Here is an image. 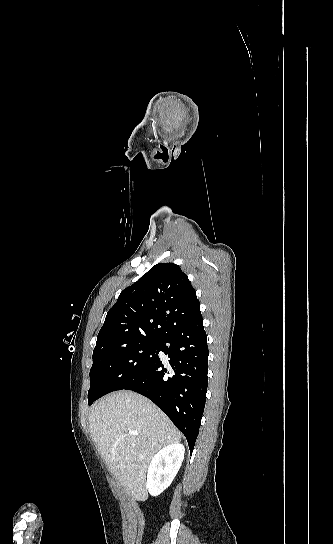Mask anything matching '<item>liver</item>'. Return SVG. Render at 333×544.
Listing matches in <instances>:
<instances>
[{
    "label": "liver",
    "mask_w": 333,
    "mask_h": 544,
    "mask_svg": "<svg viewBox=\"0 0 333 544\" xmlns=\"http://www.w3.org/2000/svg\"><path fill=\"white\" fill-rule=\"evenodd\" d=\"M89 429L115 478L139 501L147 498L146 471L154 454L181 440L179 431L157 406L130 391L115 392L101 400L90 414Z\"/></svg>",
    "instance_id": "obj_1"
}]
</instances>
